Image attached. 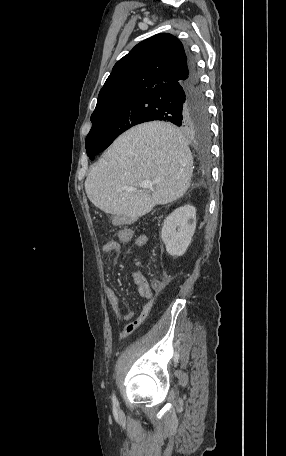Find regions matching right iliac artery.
I'll return each mask as SVG.
<instances>
[{
    "label": "right iliac artery",
    "mask_w": 286,
    "mask_h": 456,
    "mask_svg": "<svg viewBox=\"0 0 286 456\" xmlns=\"http://www.w3.org/2000/svg\"><path fill=\"white\" fill-rule=\"evenodd\" d=\"M112 402H113V406H118V401H117V399H116L114 394L112 396Z\"/></svg>",
    "instance_id": "82829eb1"
}]
</instances>
